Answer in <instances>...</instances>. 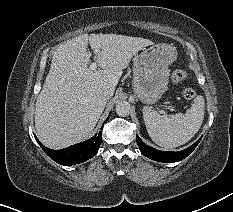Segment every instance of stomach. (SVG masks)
<instances>
[{
	"label": "stomach",
	"mask_w": 233,
	"mask_h": 212,
	"mask_svg": "<svg viewBox=\"0 0 233 212\" xmlns=\"http://www.w3.org/2000/svg\"><path fill=\"white\" fill-rule=\"evenodd\" d=\"M177 57L176 48L167 43L144 47L134 58L133 90L145 104H154L166 90L169 66Z\"/></svg>",
	"instance_id": "obj_1"
}]
</instances>
